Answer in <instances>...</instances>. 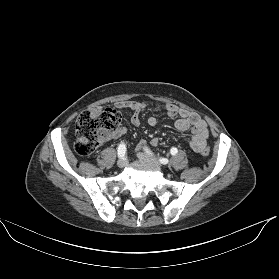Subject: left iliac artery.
<instances>
[{
	"mask_svg": "<svg viewBox=\"0 0 279 279\" xmlns=\"http://www.w3.org/2000/svg\"><path fill=\"white\" fill-rule=\"evenodd\" d=\"M145 150H146L147 153L151 154L150 151H149L148 149H145ZM177 152H178V150H177V148H175V147L171 148V150H170L171 155H176ZM160 162H161L162 164H167V163H168V160L165 159V158H160Z\"/></svg>",
	"mask_w": 279,
	"mask_h": 279,
	"instance_id": "left-iliac-artery-1",
	"label": "left iliac artery"
}]
</instances>
